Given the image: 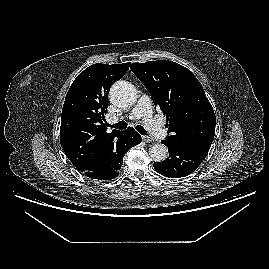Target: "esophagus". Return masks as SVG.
Masks as SVG:
<instances>
[{"label": "esophagus", "instance_id": "1", "mask_svg": "<svg viewBox=\"0 0 269 269\" xmlns=\"http://www.w3.org/2000/svg\"><path fill=\"white\" fill-rule=\"evenodd\" d=\"M142 140L147 142V143L154 142V139L150 136H147V135H143Z\"/></svg>", "mask_w": 269, "mask_h": 269}]
</instances>
